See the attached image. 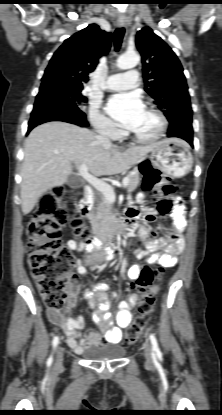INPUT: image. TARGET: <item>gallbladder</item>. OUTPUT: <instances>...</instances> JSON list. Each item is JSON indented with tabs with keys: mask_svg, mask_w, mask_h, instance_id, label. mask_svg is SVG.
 <instances>
[{
	"mask_svg": "<svg viewBox=\"0 0 222 415\" xmlns=\"http://www.w3.org/2000/svg\"><path fill=\"white\" fill-rule=\"evenodd\" d=\"M66 184L71 188H78L82 185V179L76 175H70Z\"/></svg>",
	"mask_w": 222,
	"mask_h": 415,
	"instance_id": "obj_1",
	"label": "gallbladder"
}]
</instances>
